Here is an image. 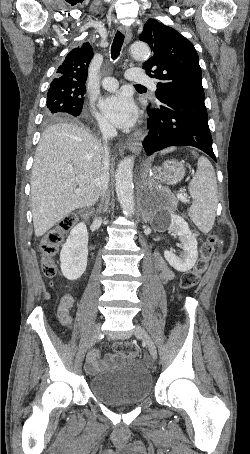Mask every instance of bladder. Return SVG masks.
I'll use <instances>...</instances> for the list:
<instances>
[{
	"mask_svg": "<svg viewBox=\"0 0 250 454\" xmlns=\"http://www.w3.org/2000/svg\"><path fill=\"white\" fill-rule=\"evenodd\" d=\"M89 390L106 405L139 404L152 392V377L144 366L121 359L119 367L91 377Z\"/></svg>",
	"mask_w": 250,
	"mask_h": 454,
	"instance_id": "31cf9c89",
	"label": "bladder"
}]
</instances>
